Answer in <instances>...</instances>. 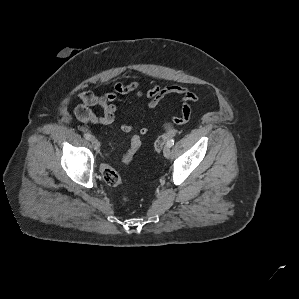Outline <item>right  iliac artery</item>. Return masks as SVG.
Returning a JSON list of instances; mask_svg holds the SVG:
<instances>
[{
  "instance_id": "right-iliac-artery-1",
  "label": "right iliac artery",
  "mask_w": 299,
  "mask_h": 299,
  "mask_svg": "<svg viewBox=\"0 0 299 299\" xmlns=\"http://www.w3.org/2000/svg\"><path fill=\"white\" fill-rule=\"evenodd\" d=\"M84 138H85L86 140H91L92 136H91L89 133H85V134H84Z\"/></svg>"
}]
</instances>
